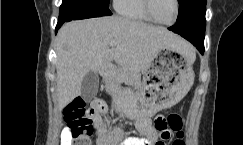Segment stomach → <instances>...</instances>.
<instances>
[{"label": "stomach", "mask_w": 243, "mask_h": 145, "mask_svg": "<svg viewBox=\"0 0 243 145\" xmlns=\"http://www.w3.org/2000/svg\"><path fill=\"white\" fill-rule=\"evenodd\" d=\"M194 60L195 52L191 48L184 52L166 49L143 72L141 94H115L114 103L125 106L122 110L132 119L155 116L159 110L178 103L190 90L194 82ZM109 86L118 92L117 86L111 83Z\"/></svg>", "instance_id": "0dacf381"}]
</instances>
